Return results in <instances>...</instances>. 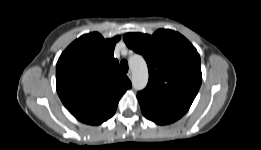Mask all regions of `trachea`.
<instances>
[{
  "label": "trachea",
  "instance_id": "1",
  "mask_svg": "<svg viewBox=\"0 0 261 150\" xmlns=\"http://www.w3.org/2000/svg\"><path fill=\"white\" fill-rule=\"evenodd\" d=\"M120 67H121L122 71L128 72L129 67H128V62H127V60H122V61L120 62Z\"/></svg>",
  "mask_w": 261,
  "mask_h": 150
}]
</instances>
